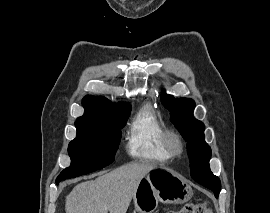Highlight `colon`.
<instances>
[{
	"mask_svg": "<svg viewBox=\"0 0 270 213\" xmlns=\"http://www.w3.org/2000/svg\"><path fill=\"white\" fill-rule=\"evenodd\" d=\"M167 213H212L207 203H188L178 211H168Z\"/></svg>",
	"mask_w": 270,
	"mask_h": 213,
	"instance_id": "obj_1",
	"label": "colon"
}]
</instances>
